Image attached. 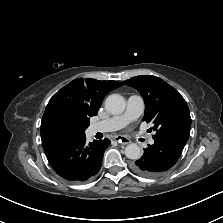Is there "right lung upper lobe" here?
<instances>
[{"mask_svg": "<svg viewBox=\"0 0 223 223\" xmlns=\"http://www.w3.org/2000/svg\"><path fill=\"white\" fill-rule=\"evenodd\" d=\"M120 86L116 81L78 78L61 88L50 99L42 118L43 149L84 137L83 126L97 114L105 95Z\"/></svg>", "mask_w": 223, "mask_h": 223, "instance_id": "1", "label": "right lung upper lobe"}]
</instances>
